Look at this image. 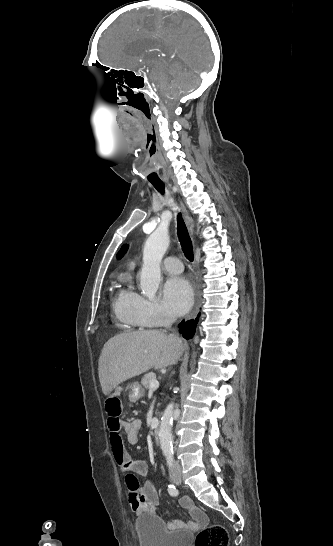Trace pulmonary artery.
Instances as JSON below:
<instances>
[{"label": "pulmonary artery", "instance_id": "pulmonary-artery-1", "mask_svg": "<svg viewBox=\"0 0 333 546\" xmlns=\"http://www.w3.org/2000/svg\"><path fill=\"white\" fill-rule=\"evenodd\" d=\"M161 266L165 271L169 273L178 274L183 271V265L181 261L178 258L172 256L166 257L162 261Z\"/></svg>", "mask_w": 333, "mask_h": 546}]
</instances>
